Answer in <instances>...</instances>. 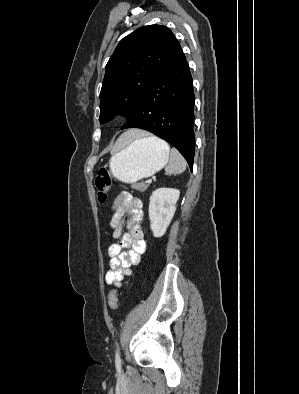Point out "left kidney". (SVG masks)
<instances>
[{"label": "left kidney", "instance_id": "1", "mask_svg": "<svg viewBox=\"0 0 299 394\" xmlns=\"http://www.w3.org/2000/svg\"><path fill=\"white\" fill-rule=\"evenodd\" d=\"M180 191L173 188L156 189L149 203L150 228L153 236L162 237L174 216Z\"/></svg>", "mask_w": 299, "mask_h": 394}]
</instances>
